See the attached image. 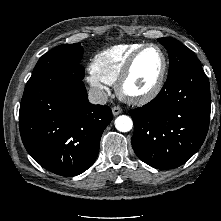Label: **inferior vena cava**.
<instances>
[{
  "mask_svg": "<svg viewBox=\"0 0 221 221\" xmlns=\"http://www.w3.org/2000/svg\"><path fill=\"white\" fill-rule=\"evenodd\" d=\"M89 102L92 104L104 105L108 101L107 93L99 88H91L88 92Z\"/></svg>",
  "mask_w": 221,
  "mask_h": 221,
  "instance_id": "obj_1",
  "label": "inferior vena cava"
}]
</instances>
